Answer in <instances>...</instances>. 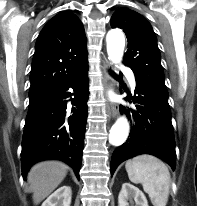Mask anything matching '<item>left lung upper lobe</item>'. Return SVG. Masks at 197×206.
I'll return each instance as SVG.
<instances>
[{"label":"left lung upper lobe","instance_id":"5c2ea615","mask_svg":"<svg viewBox=\"0 0 197 206\" xmlns=\"http://www.w3.org/2000/svg\"><path fill=\"white\" fill-rule=\"evenodd\" d=\"M111 27L124 30L128 49L124 64L132 69L135 79L153 91L168 97L157 39L150 23L139 13L118 9L111 18Z\"/></svg>","mask_w":197,"mask_h":206}]
</instances>
